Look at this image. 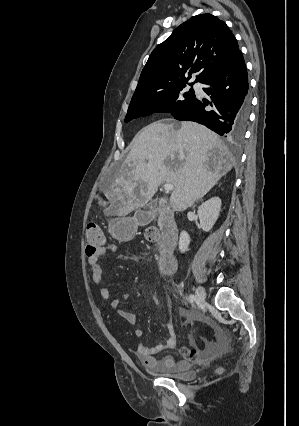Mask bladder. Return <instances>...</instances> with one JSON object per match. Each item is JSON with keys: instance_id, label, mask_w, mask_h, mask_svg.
I'll use <instances>...</instances> for the list:
<instances>
[{"instance_id": "bladder-1", "label": "bladder", "mask_w": 299, "mask_h": 426, "mask_svg": "<svg viewBox=\"0 0 299 426\" xmlns=\"http://www.w3.org/2000/svg\"><path fill=\"white\" fill-rule=\"evenodd\" d=\"M152 373L163 375L167 378L178 380V381H190L195 379L196 371L193 369H157L149 368Z\"/></svg>"}]
</instances>
